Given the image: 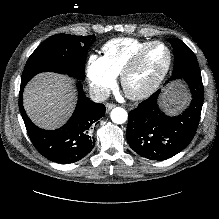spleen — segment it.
<instances>
[{
	"label": "spleen",
	"mask_w": 219,
	"mask_h": 219,
	"mask_svg": "<svg viewBox=\"0 0 219 219\" xmlns=\"http://www.w3.org/2000/svg\"><path fill=\"white\" fill-rule=\"evenodd\" d=\"M173 92L177 93V92H179V90H178V89H175ZM179 98H180L181 101H185L186 95L183 94V93H180Z\"/></svg>",
	"instance_id": "spleen-1"
}]
</instances>
